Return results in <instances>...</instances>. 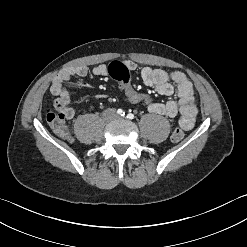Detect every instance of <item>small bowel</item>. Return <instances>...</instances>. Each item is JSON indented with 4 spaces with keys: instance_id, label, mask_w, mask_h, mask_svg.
Masks as SVG:
<instances>
[{
    "instance_id": "small-bowel-1",
    "label": "small bowel",
    "mask_w": 247,
    "mask_h": 247,
    "mask_svg": "<svg viewBox=\"0 0 247 247\" xmlns=\"http://www.w3.org/2000/svg\"><path fill=\"white\" fill-rule=\"evenodd\" d=\"M122 64L129 71L137 69L136 63L132 61ZM89 72L94 76L110 75L109 65L106 64H100L92 68L91 71L85 66H73L57 75L52 82L50 96L54 99V106L61 110L67 119H73L76 115L75 109L70 106V92L67 83L73 77H86ZM140 75L144 84L153 87L157 93L169 96L176 91L178 95V101L154 102L151 106H146L148 111L168 117L179 115L180 126L185 130L191 129L196 121L197 104L192 83L185 74L180 71L166 72L160 68L144 67Z\"/></svg>"
}]
</instances>
